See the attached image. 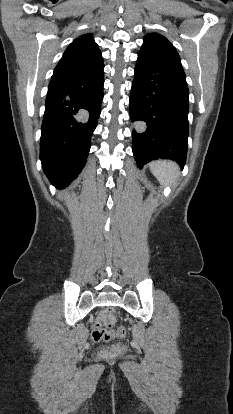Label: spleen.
<instances>
[{
	"instance_id": "3e777b00",
	"label": "spleen",
	"mask_w": 233,
	"mask_h": 414,
	"mask_svg": "<svg viewBox=\"0 0 233 414\" xmlns=\"http://www.w3.org/2000/svg\"><path fill=\"white\" fill-rule=\"evenodd\" d=\"M149 166L152 174L163 186L175 184L179 178V167L173 161H154Z\"/></svg>"
}]
</instances>
